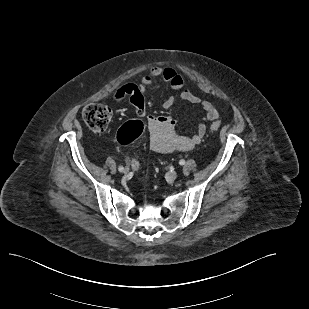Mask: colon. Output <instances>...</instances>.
Listing matches in <instances>:
<instances>
[{
  "label": "colon",
  "mask_w": 309,
  "mask_h": 309,
  "mask_svg": "<svg viewBox=\"0 0 309 309\" xmlns=\"http://www.w3.org/2000/svg\"><path fill=\"white\" fill-rule=\"evenodd\" d=\"M83 119L87 126L94 132L101 133L107 130L111 121V109L104 104H89L83 109ZM212 131L220 128L219 122L211 125ZM144 131V124L141 120H131L125 123L118 132V141L122 145H128L135 141ZM134 170L139 168L136 158L131 160Z\"/></svg>",
  "instance_id": "colon-1"
}]
</instances>
